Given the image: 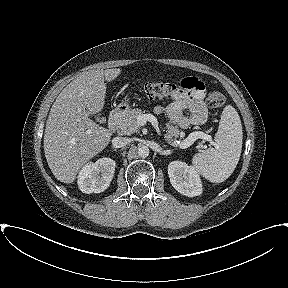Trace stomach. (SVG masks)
<instances>
[{"label": "stomach", "mask_w": 288, "mask_h": 288, "mask_svg": "<svg viewBox=\"0 0 288 288\" xmlns=\"http://www.w3.org/2000/svg\"><path fill=\"white\" fill-rule=\"evenodd\" d=\"M117 109L121 112H126L129 109L128 100L125 99L122 103H120Z\"/></svg>", "instance_id": "0dacf381"}]
</instances>
